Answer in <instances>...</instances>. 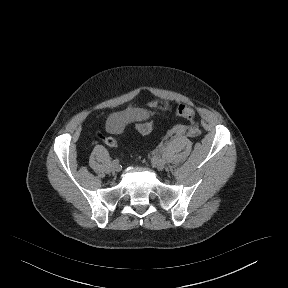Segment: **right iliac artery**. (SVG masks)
<instances>
[{
	"instance_id": "1",
	"label": "right iliac artery",
	"mask_w": 288,
	"mask_h": 288,
	"mask_svg": "<svg viewBox=\"0 0 288 288\" xmlns=\"http://www.w3.org/2000/svg\"><path fill=\"white\" fill-rule=\"evenodd\" d=\"M112 162H118V160H117V159H114Z\"/></svg>"
}]
</instances>
